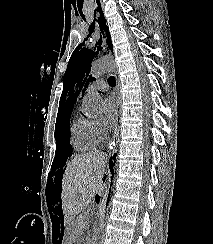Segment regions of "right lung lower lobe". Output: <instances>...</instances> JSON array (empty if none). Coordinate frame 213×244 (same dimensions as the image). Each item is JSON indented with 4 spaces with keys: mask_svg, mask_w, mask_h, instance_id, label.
<instances>
[{
    "mask_svg": "<svg viewBox=\"0 0 213 244\" xmlns=\"http://www.w3.org/2000/svg\"><path fill=\"white\" fill-rule=\"evenodd\" d=\"M115 159H116V154H114V156L110 158V169H113L112 165H113V161L115 163ZM112 173H113V171H112Z\"/></svg>",
    "mask_w": 213,
    "mask_h": 244,
    "instance_id": "right-lung-lower-lobe-1",
    "label": "right lung lower lobe"
}]
</instances>
